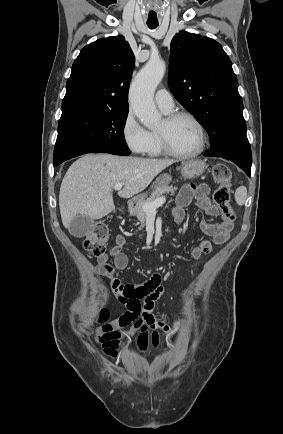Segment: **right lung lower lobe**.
<instances>
[{
	"label": "right lung lower lobe",
	"instance_id": "obj_1",
	"mask_svg": "<svg viewBox=\"0 0 283 434\" xmlns=\"http://www.w3.org/2000/svg\"><path fill=\"white\" fill-rule=\"evenodd\" d=\"M95 153H106V152H95Z\"/></svg>",
	"mask_w": 283,
	"mask_h": 434
}]
</instances>
